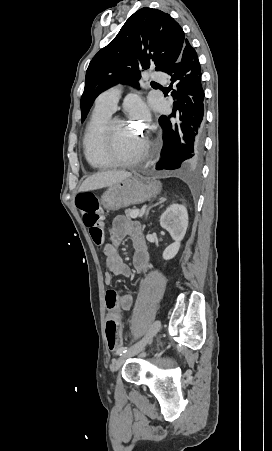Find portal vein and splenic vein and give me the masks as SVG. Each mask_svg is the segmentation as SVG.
Here are the masks:
<instances>
[{
    "instance_id": "portal-vein-and-splenic-vein-1",
    "label": "portal vein and splenic vein",
    "mask_w": 272,
    "mask_h": 451,
    "mask_svg": "<svg viewBox=\"0 0 272 451\" xmlns=\"http://www.w3.org/2000/svg\"><path fill=\"white\" fill-rule=\"evenodd\" d=\"M140 212H142V210H134V212H132L131 218H137V216H139Z\"/></svg>"
}]
</instances>
